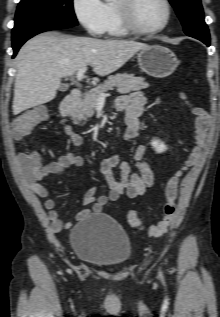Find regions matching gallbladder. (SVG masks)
I'll return each instance as SVG.
<instances>
[{
    "instance_id": "obj_1",
    "label": "gallbladder",
    "mask_w": 220,
    "mask_h": 317,
    "mask_svg": "<svg viewBox=\"0 0 220 317\" xmlns=\"http://www.w3.org/2000/svg\"><path fill=\"white\" fill-rule=\"evenodd\" d=\"M68 89V86L66 84H62L59 88L60 91L64 92Z\"/></svg>"
}]
</instances>
